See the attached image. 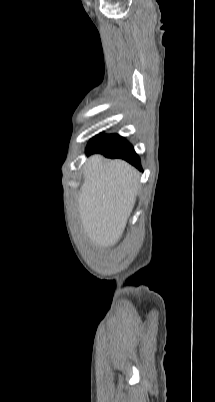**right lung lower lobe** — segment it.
Segmentation results:
<instances>
[{
  "label": "right lung lower lobe",
  "instance_id": "obj_1",
  "mask_svg": "<svg viewBox=\"0 0 215 402\" xmlns=\"http://www.w3.org/2000/svg\"><path fill=\"white\" fill-rule=\"evenodd\" d=\"M87 153L98 152L108 158H122L128 161L133 166L142 170L139 156L135 153L132 145L128 143L124 138L113 145H88L86 149Z\"/></svg>",
  "mask_w": 215,
  "mask_h": 402
}]
</instances>
